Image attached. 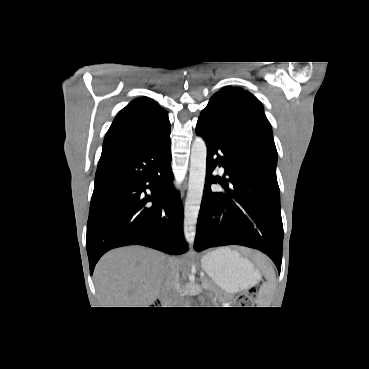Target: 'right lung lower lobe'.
I'll return each instance as SVG.
<instances>
[{
	"label": "right lung lower lobe",
	"mask_w": 369,
	"mask_h": 369,
	"mask_svg": "<svg viewBox=\"0 0 369 369\" xmlns=\"http://www.w3.org/2000/svg\"><path fill=\"white\" fill-rule=\"evenodd\" d=\"M170 132L99 161L87 223L91 274L105 252L120 246L144 245L174 255L187 251Z\"/></svg>",
	"instance_id": "right-lung-lower-lobe-1"
}]
</instances>
